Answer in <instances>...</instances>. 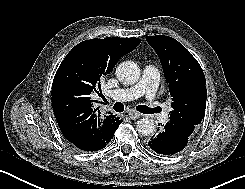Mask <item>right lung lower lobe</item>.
I'll list each match as a JSON object with an SVG mask.
<instances>
[{"mask_svg": "<svg viewBox=\"0 0 245 189\" xmlns=\"http://www.w3.org/2000/svg\"><path fill=\"white\" fill-rule=\"evenodd\" d=\"M121 122L122 120L117 118L115 122L109 125V116L99 115L94 121V133L91 136L84 139L71 140L70 142L83 151L100 150L111 141Z\"/></svg>", "mask_w": 245, "mask_h": 189, "instance_id": "right-lung-lower-lobe-1", "label": "right lung lower lobe"}]
</instances>
